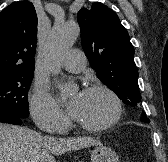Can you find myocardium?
<instances>
[{
    "mask_svg": "<svg viewBox=\"0 0 168 162\" xmlns=\"http://www.w3.org/2000/svg\"><path fill=\"white\" fill-rule=\"evenodd\" d=\"M94 91L104 92L110 97V99L113 102V106H114L113 114L111 115V117L107 121H105L101 124H97V125L83 123V122L79 121L77 118L75 119V121H76V124L80 128H82L86 131L102 132V131H105V130L111 128L112 126H114L121 118L122 101L113 89H111L110 87H108L104 84H94V85H91L85 89V92H94Z\"/></svg>",
    "mask_w": 168,
    "mask_h": 162,
    "instance_id": "1",
    "label": "myocardium"
}]
</instances>
